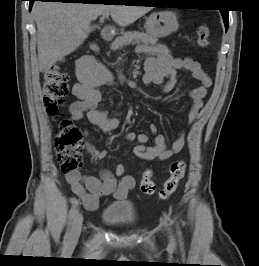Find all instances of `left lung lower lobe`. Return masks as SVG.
Returning <instances> with one entry per match:
<instances>
[{
  "instance_id": "0a47b994",
  "label": "left lung lower lobe",
  "mask_w": 259,
  "mask_h": 266,
  "mask_svg": "<svg viewBox=\"0 0 259 266\" xmlns=\"http://www.w3.org/2000/svg\"><path fill=\"white\" fill-rule=\"evenodd\" d=\"M222 12V17H223V21L225 24V28L226 30L228 29L229 26V21H228V15H229V11L228 10H220Z\"/></svg>"
}]
</instances>
